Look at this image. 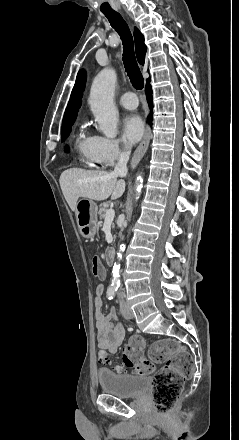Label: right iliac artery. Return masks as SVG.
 Returning <instances> with one entry per match:
<instances>
[{
  "label": "right iliac artery",
  "instance_id": "82829eb1",
  "mask_svg": "<svg viewBox=\"0 0 239 440\" xmlns=\"http://www.w3.org/2000/svg\"><path fill=\"white\" fill-rule=\"evenodd\" d=\"M117 289H118V288L115 287V286H110V287L107 289V297H108V299L111 300V299L114 298Z\"/></svg>",
  "mask_w": 239,
  "mask_h": 440
}]
</instances>
